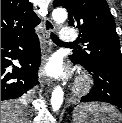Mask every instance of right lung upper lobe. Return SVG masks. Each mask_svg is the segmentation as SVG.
<instances>
[{"instance_id":"cb5924a9","label":"right lung upper lobe","mask_w":122,"mask_h":123,"mask_svg":"<svg viewBox=\"0 0 122 123\" xmlns=\"http://www.w3.org/2000/svg\"><path fill=\"white\" fill-rule=\"evenodd\" d=\"M39 23L29 0H1V39L34 36Z\"/></svg>"}]
</instances>
